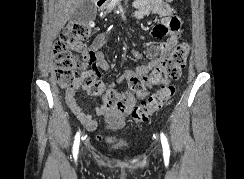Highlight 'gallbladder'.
<instances>
[{"label": "gallbladder", "mask_w": 244, "mask_h": 179, "mask_svg": "<svg viewBox=\"0 0 244 179\" xmlns=\"http://www.w3.org/2000/svg\"><path fill=\"white\" fill-rule=\"evenodd\" d=\"M97 14V8L92 0H83L80 6L76 8L74 14H72L69 22L71 24H88L95 20Z\"/></svg>", "instance_id": "bac80fb5"}]
</instances>
